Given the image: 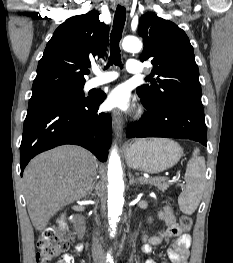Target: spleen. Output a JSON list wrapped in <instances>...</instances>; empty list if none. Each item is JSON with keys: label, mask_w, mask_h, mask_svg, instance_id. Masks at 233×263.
Returning a JSON list of instances; mask_svg holds the SVG:
<instances>
[{"label": "spleen", "mask_w": 233, "mask_h": 263, "mask_svg": "<svg viewBox=\"0 0 233 263\" xmlns=\"http://www.w3.org/2000/svg\"><path fill=\"white\" fill-rule=\"evenodd\" d=\"M205 171V159L200 156V150L195 148L186 167V188L178 197L180 210L185 214H192L201 201L205 183Z\"/></svg>", "instance_id": "spleen-1"}]
</instances>
